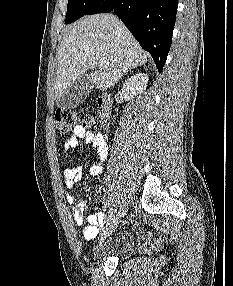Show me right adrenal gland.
<instances>
[{"label":"right adrenal gland","instance_id":"right-adrenal-gland-1","mask_svg":"<svg viewBox=\"0 0 233 286\" xmlns=\"http://www.w3.org/2000/svg\"><path fill=\"white\" fill-rule=\"evenodd\" d=\"M134 68H136V67H134ZM134 68L129 69L127 72L131 71V70L134 69ZM127 72H126V73H127Z\"/></svg>","mask_w":233,"mask_h":286}]
</instances>
